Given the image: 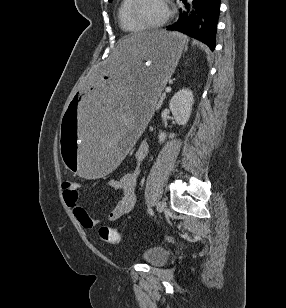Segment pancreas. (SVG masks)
<instances>
[{"label":"pancreas","instance_id":"1","mask_svg":"<svg viewBox=\"0 0 286 308\" xmlns=\"http://www.w3.org/2000/svg\"><path fill=\"white\" fill-rule=\"evenodd\" d=\"M164 98H165V94H164V93H163V94L160 93V95H159V97H158V99H157L158 105H157L156 109H159V107L161 106V103H162V101L164 100ZM155 105H156V104H155ZM155 105H154V106H155Z\"/></svg>","mask_w":286,"mask_h":308}]
</instances>
